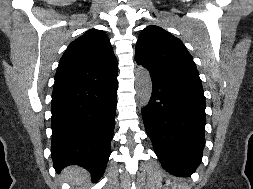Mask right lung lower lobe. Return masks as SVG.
Wrapping results in <instances>:
<instances>
[{
    "label": "right lung lower lobe",
    "mask_w": 253,
    "mask_h": 189,
    "mask_svg": "<svg viewBox=\"0 0 253 189\" xmlns=\"http://www.w3.org/2000/svg\"><path fill=\"white\" fill-rule=\"evenodd\" d=\"M117 74L95 83L54 85L52 145L54 168L76 164L96 182L104 173L111 148L117 103Z\"/></svg>",
    "instance_id": "obj_1"
}]
</instances>
